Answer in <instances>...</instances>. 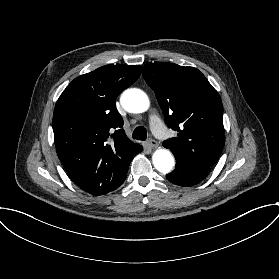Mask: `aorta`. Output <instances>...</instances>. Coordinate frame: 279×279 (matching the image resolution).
Here are the masks:
<instances>
[{
    "label": "aorta",
    "instance_id": "obj_1",
    "mask_svg": "<svg viewBox=\"0 0 279 279\" xmlns=\"http://www.w3.org/2000/svg\"><path fill=\"white\" fill-rule=\"evenodd\" d=\"M120 103L129 113H143L150 106L146 93L137 88L125 90L120 97ZM152 162L155 169L163 174L170 173L175 166L174 156L167 149H157L153 153Z\"/></svg>",
    "mask_w": 279,
    "mask_h": 279
}]
</instances>
